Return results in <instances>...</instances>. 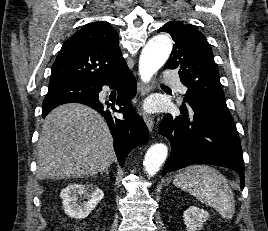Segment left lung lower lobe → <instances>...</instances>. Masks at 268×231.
<instances>
[{
  "label": "left lung lower lobe",
  "instance_id": "1",
  "mask_svg": "<svg viewBox=\"0 0 268 231\" xmlns=\"http://www.w3.org/2000/svg\"><path fill=\"white\" fill-rule=\"evenodd\" d=\"M180 111V116H166L159 127V134L169 139L172 148L162 174L207 163L235 170L243 189L244 161L235 124L197 107Z\"/></svg>",
  "mask_w": 268,
  "mask_h": 231
}]
</instances>
